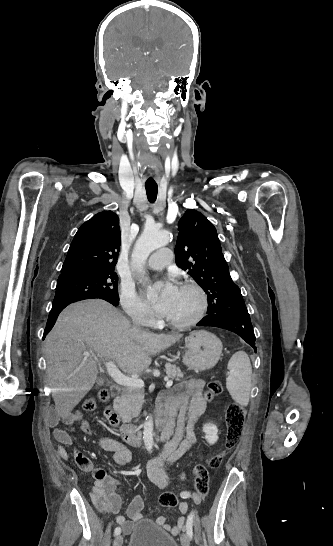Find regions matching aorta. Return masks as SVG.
<instances>
[{"mask_svg": "<svg viewBox=\"0 0 333 546\" xmlns=\"http://www.w3.org/2000/svg\"><path fill=\"white\" fill-rule=\"evenodd\" d=\"M170 240L167 231H160L154 228H147L137 239L132 252V267L143 274V267L149 255L156 249L167 245ZM143 441L148 452L153 450V420L152 416L147 417L144 423Z\"/></svg>", "mask_w": 333, "mask_h": 546, "instance_id": "obj_1", "label": "aorta"}]
</instances>
